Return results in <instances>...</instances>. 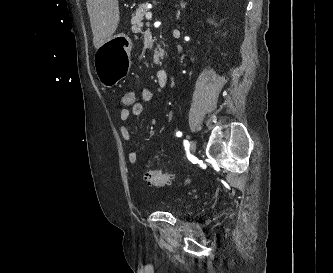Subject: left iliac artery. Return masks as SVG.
<instances>
[{
    "instance_id": "44dca946",
    "label": "left iliac artery",
    "mask_w": 333,
    "mask_h": 273,
    "mask_svg": "<svg viewBox=\"0 0 333 273\" xmlns=\"http://www.w3.org/2000/svg\"><path fill=\"white\" fill-rule=\"evenodd\" d=\"M176 136L177 137H181L182 136V132H180V131L176 132ZM184 143L187 144L188 141L185 140Z\"/></svg>"
}]
</instances>
